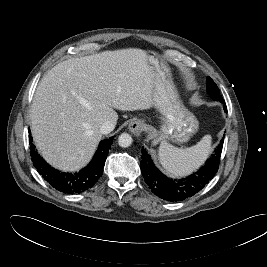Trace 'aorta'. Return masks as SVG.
Segmentation results:
<instances>
[{"mask_svg": "<svg viewBox=\"0 0 267 267\" xmlns=\"http://www.w3.org/2000/svg\"><path fill=\"white\" fill-rule=\"evenodd\" d=\"M132 142H133V139L131 135L128 133H122L118 138V144L119 146L123 148H127L131 146Z\"/></svg>", "mask_w": 267, "mask_h": 267, "instance_id": "obj_1", "label": "aorta"}]
</instances>
